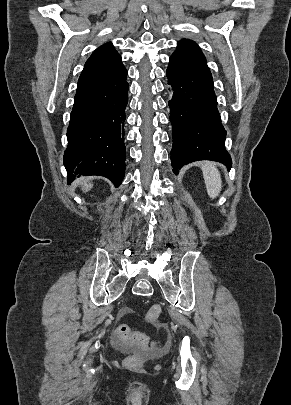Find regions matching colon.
I'll return each instance as SVG.
<instances>
[{
    "label": "colon",
    "mask_w": 291,
    "mask_h": 405,
    "mask_svg": "<svg viewBox=\"0 0 291 405\" xmlns=\"http://www.w3.org/2000/svg\"><path fill=\"white\" fill-rule=\"evenodd\" d=\"M161 307L153 305L146 314V320L149 323H156L161 315ZM114 338L128 345H136L140 348L147 349L150 347L149 338L139 332H133L126 324H120L114 331ZM144 359L140 355H130L126 359V364L129 367H138L143 363Z\"/></svg>",
    "instance_id": "obj_1"
}]
</instances>
